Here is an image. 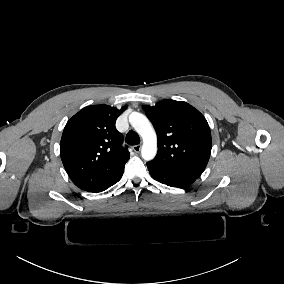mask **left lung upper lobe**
<instances>
[{
    "mask_svg": "<svg viewBox=\"0 0 284 284\" xmlns=\"http://www.w3.org/2000/svg\"><path fill=\"white\" fill-rule=\"evenodd\" d=\"M158 136V153L149 164L198 178L208 163L211 132L205 117L186 102L163 100L143 107Z\"/></svg>",
    "mask_w": 284,
    "mask_h": 284,
    "instance_id": "1",
    "label": "left lung upper lobe"
}]
</instances>
